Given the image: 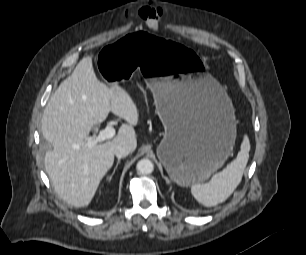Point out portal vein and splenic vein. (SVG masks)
<instances>
[{
	"mask_svg": "<svg viewBox=\"0 0 306 255\" xmlns=\"http://www.w3.org/2000/svg\"><path fill=\"white\" fill-rule=\"evenodd\" d=\"M115 129L112 127V125L106 126L105 129L101 130L94 139H89L86 143L88 147H93L97 143H102L105 140L111 139L115 136Z\"/></svg>",
	"mask_w": 306,
	"mask_h": 255,
	"instance_id": "18ae733b",
	"label": "portal vein and splenic vein"
}]
</instances>
